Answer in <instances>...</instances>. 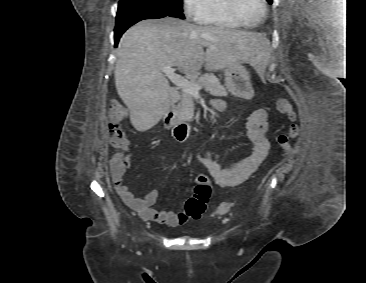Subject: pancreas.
<instances>
[{"mask_svg": "<svg viewBox=\"0 0 366 283\" xmlns=\"http://www.w3.org/2000/svg\"><path fill=\"white\" fill-rule=\"evenodd\" d=\"M190 80L201 85L206 92H209L212 96L223 97L227 96V91L219 80L210 74H205L201 77H197L195 74H191ZM179 116L185 121H192L194 115V101L193 95L182 92L180 96V102L178 103Z\"/></svg>", "mask_w": 366, "mask_h": 283, "instance_id": "cf45deb5", "label": "pancreas"}]
</instances>
